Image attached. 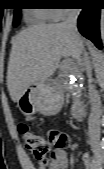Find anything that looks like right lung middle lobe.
Segmentation results:
<instances>
[{"instance_id":"obj_1","label":"right lung middle lobe","mask_w":104,"mask_h":169,"mask_svg":"<svg viewBox=\"0 0 104 169\" xmlns=\"http://www.w3.org/2000/svg\"><path fill=\"white\" fill-rule=\"evenodd\" d=\"M20 21V8H16L14 12L13 25L17 26Z\"/></svg>"}]
</instances>
